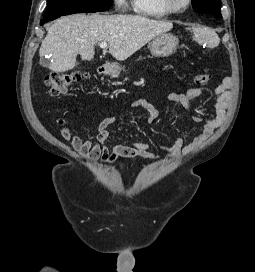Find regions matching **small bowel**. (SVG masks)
Masks as SVG:
<instances>
[{
	"mask_svg": "<svg viewBox=\"0 0 255 272\" xmlns=\"http://www.w3.org/2000/svg\"><path fill=\"white\" fill-rule=\"evenodd\" d=\"M232 80L225 78L213 90L214 116L202 117L194 116V121L200 125V130L189 145H185L184 138L176 136L168 145H161L159 149L166 152L169 157H178L182 152H190L202 144L224 121L230 102L229 89ZM205 92L202 86L189 88L185 92H172L168 98L171 102L179 104L187 109L191 108L192 103ZM133 108H141L147 113V124L153 125L159 118V111L147 102H136ZM117 121L116 116H108L101 120L97 127L96 137L92 140H82L77 134L72 133L70 128L64 127L61 130L62 137L70 141L73 148L83 157L90 161H102L108 163L118 157L144 158L149 160H160L161 156L152 151L148 143L134 142L131 144H117L111 148L105 145L109 137V127Z\"/></svg>",
	"mask_w": 255,
	"mask_h": 272,
	"instance_id": "obj_1",
	"label": "small bowel"
}]
</instances>
